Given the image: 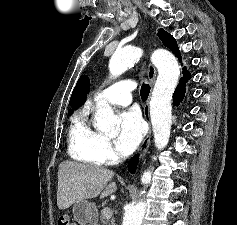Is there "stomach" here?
I'll use <instances>...</instances> for the list:
<instances>
[{"instance_id": "obj_1", "label": "stomach", "mask_w": 237, "mask_h": 225, "mask_svg": "<svg viewBox=\"0 0 237 225\" xmlns=\"http://www.w3.org/2000/svg\"><path fill=\"white\" fill-rule=\"evenodd\" d=\"M74 219L80 225H87L97 217V207L95 203L87 200H80L73 205Z\"/></svg>"}]
</instances>
